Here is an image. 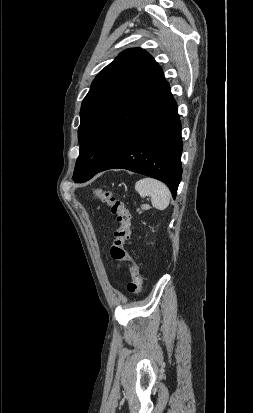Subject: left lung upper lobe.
Listing matches in <instances>:
<instances>
[{
	"label": "left lung upper lobe",
	"mask_w": 253,
	"mask_h": 413,
	"mask_svg": "<svg viewBox=\"0 0 253 413\" xmlns=\"http://www.w3.org/2000/svg\"><path fill=\"white\" fill-rule=\"evenodd\" d=\"M168 87L162 69L141 48L125 50L96 76L80 111L75 182L105 163Z\"/></svg>",
	"instance_id": "5c2ea615"
}]
</instances>
